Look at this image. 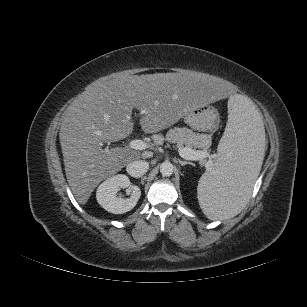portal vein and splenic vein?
I'll list each match as a JSON object with an SVG mask.
<instances>
[{"mask_svg":"<svg viewBox=\"0 0 307 307\" xmlns=\"http://www.w3.org/2000/svg\"><path fill=\"white\" fill-rule=\"evenodd\" d=\"M128 147L135 150H144L149 148V144L143 140L134 139L129 142ZM178 152L179 155L186 160L198 161L209 158L205 163V167L209 169L212 166V156L206 151L193 150L191 148L179 146Z\"/></svg>","mask_w":307,"mask_h":307,"instance_id":"obj_1","label":"portal vein and splenic vein"}]
</instances>
